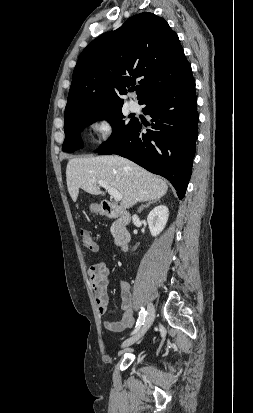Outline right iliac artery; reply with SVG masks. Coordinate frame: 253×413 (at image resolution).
Returning <instances> with one entry per match:
<instances>
[{
	"label": "right iliac artery",
	"instance_id": "right-iliac-artery-1",
	"mask_svg": "<svg viewBox=\"0 0 253 413\" xmlns=\"http://www.w3.org/2000/svg\"><path fill=\"white\" fill-rule=\"evenodd\" d=\"M145 315H147V312L144 310V308H142L141 311L139 312L138 321L136 323V327L134 331L132 332V334L136 333L140 329L141 325H144Z\"/></svg>",
	"mask_w": 253,
	"mask_h": 413
}]
</instances>
